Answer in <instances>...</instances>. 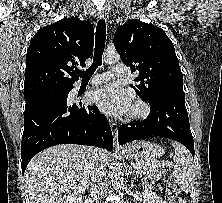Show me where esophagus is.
<instances>
[{"label":"esophagus","mask_w":222,"mask_h":203,"mask_svg":"<svg viewBox=\"0 0 222 203\" xmlns=\"http://www.w3.org/2000/svg\"><path fill=\"white\" fill-rule=\"evenodd\" d=\"M107 16H108V13H107L106 9H102L98 12V18H100V19H106ZM109 123H110V127H111L113 137H114V145L117 146V144H118V140H117L118 125L112 119H109Z\"/></svg>","instance_id":"esophagus-1"}]
</instances>
